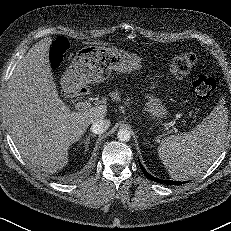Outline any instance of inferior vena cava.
<instances>
[{"mask_svg": "<svg viewBox=\"0 0 231 231\" xmlns=\"http://www.w3.org/2000/svg\"><path fill=\"white\" fill-rule=\"evenodd\" d=\"M110 124V120L100 119L92 124L91 131L95 134H102L110 127Z\"/></svg>", "mask_w": 231, "mask_h": 231, "instance_id": "inferior-vena-cava-1", "label": "inferior vena cava"}]
</instances>
